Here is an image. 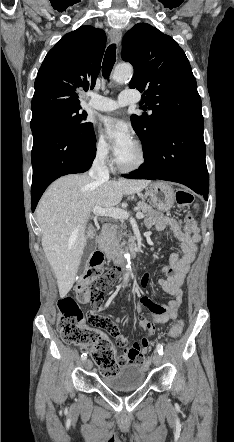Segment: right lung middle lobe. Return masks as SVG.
<instances>
[{"label": "right lung middle lobe", "mask_w": 234, "mask_h": 442, "mask_svg": "<svg viewBox=\"0 0 234 442\" xmlns=\"http://www.w3.org/2000/svg\"><path fill=\"white\" fill-rule=\"evenodd\" d=\"M80 107L57 108L32 116L31 129L41 126L60 127L69 133L87 139L93 134V125L86 121L87 113Z\"/></svg>", "instance_id": "obj_1"}]
</instances>
